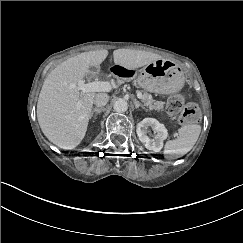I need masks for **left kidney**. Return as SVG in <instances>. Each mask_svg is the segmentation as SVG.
I'll list each match as a JSON object with an SVG mask.
<instances>
[{
	"label": "left kidney",
	"instance_id": "1",
	"mask_svg": "<svg viewBox=\"0 0 243 243\" xmlns=\"http://www.w3.org/2000/svg\"><path fill=\"white\" fill-rule=\"evenodd\" d=\"M151 126L156 133L154 138L147 136V129ZM139 140L145 145V147L154 152H159L163 148V142L168 136V131L164 124H161L154 118H145L137 124L136 129Z\"/></svg>",
	"mask_w": 243,
	"mask_h": 243
}]
</instances>
